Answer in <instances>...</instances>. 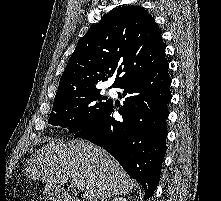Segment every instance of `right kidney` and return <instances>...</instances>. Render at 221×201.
<instances>
[{
  "label": "right kidney",
  "instance_id": "obj_1",
  "mask_svg": "<svg viewBox=\"0 0 221 201\" xmlns=\"http://www.w3.org/2000/svg\"><path fill=\"white\" fill-rule=\"evenodd\" d=\"M112 201H127V199L123 197H116Z\"/></svg>",
  "mask_w": 221,
  "mask_h": 201
}]
</instances>
